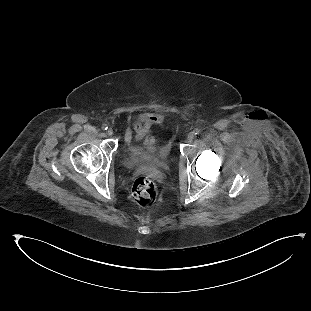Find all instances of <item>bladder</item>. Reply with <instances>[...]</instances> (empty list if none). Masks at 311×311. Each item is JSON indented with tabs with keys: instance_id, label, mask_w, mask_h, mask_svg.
Returning <instances> with one entry per match:
<instances>
[{
	"instance_id": "1",
	"label": "bladder",
	"mask_w": 311,
	"mask_h": 311,
	"mask_svg": "<svg viewBox=\"0 0 311 311\" xmlns=\"http://www.w3.org/2000/svg\"><path fill=\"white\" fill-rule=\"evenodd\" d=\"M122 155L127 160L130 168L164 170L172 156V147L162 143L160 137L146 135L141 142L136 143L131 132H126L123 138Z\"/></svg>"
}]
</instances>
